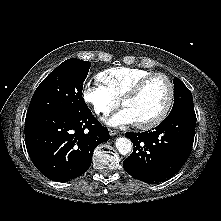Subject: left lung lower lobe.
<instances>
[{
  "label": "left lung lower lobe",
  "mask_w": 221,
  "mask_h": 221,
  "mask_svg": "<svg viewBox=\"0 0 221 221\" xmlns=\"http://www.w3.org/2000/svg\"><path fill=\"white\" fill-rule=\"evenodd\" d=\"M195 125V113H176L170 114L153 130L126 133L134 149L123 161L125 171L151 184L168 179L190 155Z\"/></svg>",
  "instance_id": "0a47b994"
}]
</instances>
